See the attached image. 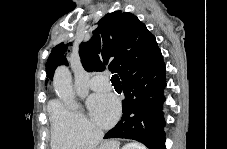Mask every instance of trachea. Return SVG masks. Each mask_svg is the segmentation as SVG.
I'll use <instances>...</instances> for the list:
<instances>
[{
  "instance_id": "3493384b",
  "label": "trachea",
  "mask_w": 227,
  "mask_h": 149,
  "mask_svg": "<svg viewBox=\"0 0 227 149\" xmlns=\"http://www.w3.org/2000/svg\"><path fill=\"white\" fill-rule=\"evenodd\" d=\"M111 82L113 85H118L120 84V79L119 76L117 74H114L111 78Z\"/></svg>"
}]
</instances>
